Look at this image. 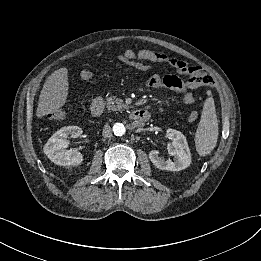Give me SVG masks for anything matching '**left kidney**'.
Masks as SVG:
<instances>
[{
	"instance_id": "1",
	"label": "left kidney",
	"mask_w": 261,
	"mask_h": 261,
	"mask_svg": "<svg viewBox=\"0 0 261 261\" xmlns=\"http://www.w3.org/2000/svg\"><path fill=\"white\" fill-rule=\"evenodd\" d=\"M166 137L173 140L167 149L174 161L162 159L157 150H152L149 153L151 162L160 170L180 171L187 168L191 164V154L186 137L180 131L170 128L166 130Z\"/></svg>"
}]
</instances>
